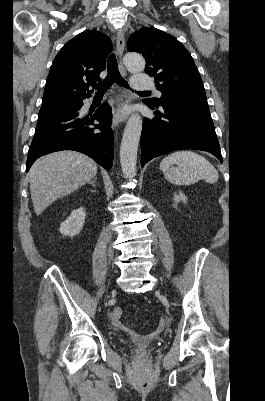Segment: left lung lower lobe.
Segmentation results:
<instances>
[{
	"mask_svg": "<svg viewBox=\"0 0 265 401\" xmlns=\"http://www.w3.org/2000/svg\"><path fill=\"white\" fill-rule=\"evenodd\" d=\"M144 103L156 110L153 105ZM161 106L165 114L156 110L153 119H144L141 166L155 157L180 149L207 151L222 162L207 101L180 100Z\"/></svg>",
	"mask_w": 265,
	"mask_h": 401,
	"instance_id": "1",
	"label": "left lung lower lobe"
}]
</instances>
